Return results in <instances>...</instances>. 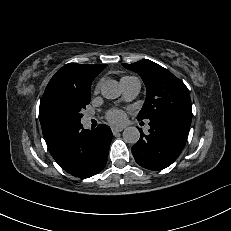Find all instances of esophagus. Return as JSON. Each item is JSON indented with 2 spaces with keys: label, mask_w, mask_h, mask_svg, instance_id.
Listing matches in <instances>:
<instances>
[{
  "label": "esophagus",
  "mask_w": 231,
  "mask_h": 231,
  "mask_svg": "<svg viewBox=\"0 0 231 231\" xmlns=\"http://www.w3.org/2000/svg\"><path fill=\"white\" fill-rule=\"evenodd\" d=\"M123 129H124V127H113L112 132L115 135V134L121 132Z\"/></svg>",
  "instance_id": "obj_1"
}]
</instances>
